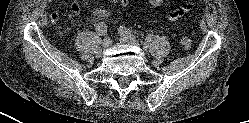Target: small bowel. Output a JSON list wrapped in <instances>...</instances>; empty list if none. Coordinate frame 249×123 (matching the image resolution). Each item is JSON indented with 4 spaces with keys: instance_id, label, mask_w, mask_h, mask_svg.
Instances as JSON below:
<instances>
[{
    "instance_id": "obj_1",
    "label": "small bowel",
    "mask_w": 249,
    "mask_h": 123,
    "mask_svg": "<svg viewBox=\"0 0 249 123\" xmlns=\"http://www.w3.org/2000/svg\"><path fill=\"white\" fill-rule=\"evenodd\" d=\"M47 1L51 3L53 0H47ZM163 1L164 0H148V2L154 6H160L163 3ZM108 2L120 8H124L129 4L130 0H108ZM190 9H191V4H183L181 7L169 12L167 17L170 21L177 20L180 17H182L185 13H187ZM79 13H80L79 4L77 2H73L70 7V12H69L70 16L75 17L79 15ZM111 13L112 11L107 8H96L94 10V14L99 18L108 17L109 15H111ZM48 16L52 23H56L60 19V15L56 11L49 12ZM99 23L101 22H98L96 24V27L99 25ZM65 30H68V28L66 27Z\"/></svg>"
}]
</instances>
